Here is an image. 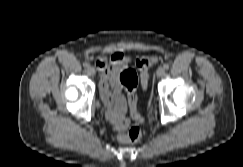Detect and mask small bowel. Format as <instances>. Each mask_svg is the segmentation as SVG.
<instances>
[{"instance_id": "small-bowel-1", "label": "small bowel", "mask_w": 243, "mask_h": 167, "mask_svg": "<svg viewBox=\"0 0 243 167\" xmlns=\"http://www.w3.org/2000/svg\"><path fill=\"white\" fill-rule=\"evenodd\" d=\"M129 57L122 52H115L109 58L98 57L95 65L100 73V95L106 106V116L118 129L124 121L127 110L126 100L121 94L119 75L128 64ZM130 112L134 120L139 121L136 106L129 103Z\"/></svg>"}]
</instances>
